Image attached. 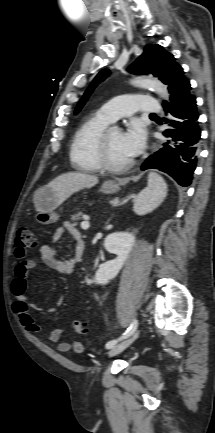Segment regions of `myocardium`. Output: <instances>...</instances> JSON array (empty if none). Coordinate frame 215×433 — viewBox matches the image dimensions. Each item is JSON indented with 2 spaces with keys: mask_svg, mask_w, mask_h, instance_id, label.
Returning a JSON list of instances; mask_svg holds the SVG:
<instances>
[{
  "mask_svg": "<svg viewBox=\"0 0 215 433\" xmlns=\"http://www.w3.org/2000/svg\"><path fill=\"white\" fill-rule=\"evenodd\" d=\"M110 130H105L98 142V161L101 168L111 172H121L131 168L135 161L131 159L122 164H115L111 161L108 151V135Z\"/></svg>",
  "mask_w": 215,
  "mask_h": 433,
  "instance_id": "1",
  "label": "myocardium"
}]
</instances>
